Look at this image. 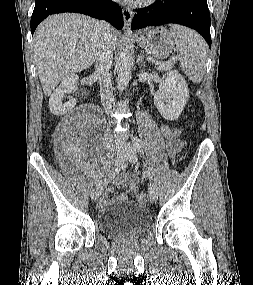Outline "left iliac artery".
I'll return each mask as SVG.
<instances>
[{
  "mask_svg": "<svg viewBox=\"0 0 253 285\" xmlns=\"http://www.w3.org/2000/svg\"><path fill=\"white\" fill-rule=\"evenodd\" d=\"M133 144L135 146V148L140 152V153H143V145H142V142L141 140L135 136L133 137ZM147 174L149 176V179H152L153 178V169L151 166H148L147 167Z\"/></svg>",
  "mask_w": 253,
  "mask_h": 285,
  "instance_id": "obj_1",
  "label": "left iliac artery"
}]
</instances>
